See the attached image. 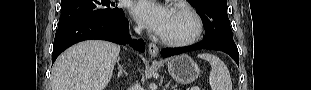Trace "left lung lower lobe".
I'll use <instances>...</instances> for the list:
<instances>
[{"mask_svg":"<svg viewBox=\"0 0 311 90\" xmlns=\"http://www.w3.org/2000/svg\"><path fill=\"white\" fill-rule=\"evenodd\" d=\"M210 49L223 51L229 54L235 62L239 65V53L234 41H228L224 39H204L202 42L194 44L188 47L182 48H166L161 51L162 57H169L177 54H181L188 51Z\"/></svg>","mask_w":311,"mask_h":90,"instance_id":"obj_1","label":"left lung lower lobe"}]
</instances>
